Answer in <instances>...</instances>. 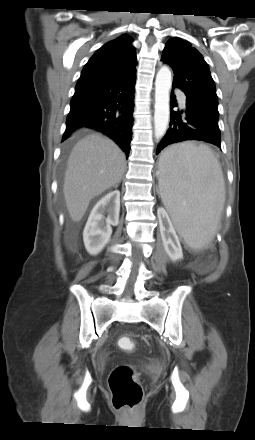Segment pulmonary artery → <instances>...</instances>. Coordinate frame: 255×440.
Instances as JSON below:
<instances>
[{"label": "pulmonary artery", "instance_id": "obj_1", "mask_svg": "<svg viewBox=\"0 0 255 440\" xmlns=\"http://www.w3.org/2000/svg\"><path fill=\"white\" fill-rule=\"evenodd\" d=\"M177 93H178V96H179V100H180L181 105L184 106V105L186 104V98H185V96H184L180 91H177Z\"/></svg>", "mask_w": 255, "mask_h": 440}]
</instances>
